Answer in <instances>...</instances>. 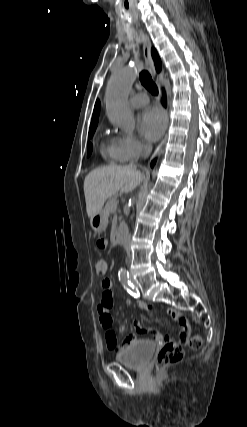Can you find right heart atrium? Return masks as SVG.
<instances>
[{
  "instance_id": "d8ad5b80",
  "label": "right heart atrium",
  "mask_w": 247,
  "mask_h": 427,
  "mask_svg": "<svg viewBox=\"0 0 247 427\" xmlns=\"http://www.w3.org/2000/svg\"><path fill=\"white\" fill-rule=\"evenodd\" d=\"M121 161L136 159L146 148L145 143L133 136H122L116 139Z\"/></svg>"
}]
</instances>
